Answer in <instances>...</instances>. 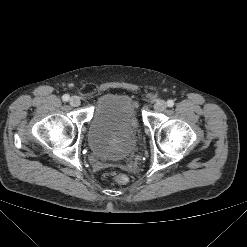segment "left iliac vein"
Instances as JSON below:
<instances>
[{"mask_svg":"<svg viewBox=\"0 0 247 247\" xmlns=\"http://www.w3.org/2000/svg\"><path fill=\"white\" fill-rule=\"evenodd\" d=\"M166 102L163 100H159L154 104V110L157 112L164 111L166 109Z\"/></svg>","mask_w":247,"mask_h":247,"instance_id":"obj_1","label":"left iliac vein"}]
</instances>
